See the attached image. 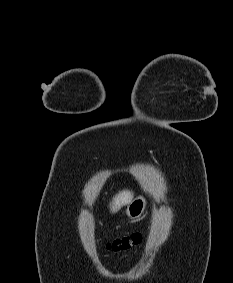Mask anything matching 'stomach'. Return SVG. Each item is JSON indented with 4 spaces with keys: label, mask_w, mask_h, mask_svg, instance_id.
<instances>
[{
    "label": "stomach",
    "mask_w": 233,
    "mask_h": 283,
    "mask_svg": "<svg viewBox=\"0 0 233 283\" xmlns=\"http://www.w3.org/2000/svg\"><path fill=\"white\" fill-rule=\"evenodd\" d=\"M146 204L147 202L145 198L143 196H139L127 206L126 214L131 219L139 218L143 214Z\"/></svg>",
    "instance_id": "0dacf381"
}]
</instances>
